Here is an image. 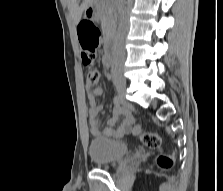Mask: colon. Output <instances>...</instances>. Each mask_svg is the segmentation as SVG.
I'll list each match as a JSON object with an SVG mask.
<instances>
[{
  "instance_id": "1",
  "label": "colon",
  "mask_w": 223,
  "mask_h": 191,
  "mask_svg": "<svg viewBox=\"0 0 223 191\" xmlns=\"http://www.w3.org/2000/svg\"><path fill=\"white\" fill-rule=\"evenodd\" d=\"M100 31L95 28L84 26L80 30V42L82 47L83 64L91 68L96 61V51L100 41ZM99 74L96 70L88 73V82L97 83ZM133 134L140 138L141 142L149 148H158L161 145L160 137L151 132L145 131L141 126L136 125L133 128ZM172 159L166 154H161L157 158V164L162 169H169L172 166Z\"/></svg>"
}]
</instances>
